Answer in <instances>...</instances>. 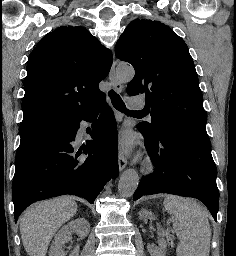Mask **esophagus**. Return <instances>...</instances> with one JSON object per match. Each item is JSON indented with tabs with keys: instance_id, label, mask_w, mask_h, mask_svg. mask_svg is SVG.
<instances>
[{
	"instance_id": "1",
	"label": "esophagus",
	"mask_w": 236,
	"mask_h": 256,
	"mask_svg": "<svg viewBox=\"0 0 236 256\" xmlns=\"http://www.w3.org/2000/svg\"><path fill=\"white\" fill-rule=\"evenodd\" d=\"M115 66H116V62L114 61L112 64L110 73H109V79H110V82L113 85L114 89L117 92H122V85L116 76ZM118 162H119V169H120V171H122L127 165V160L124 157L122 152L119 153Z\"/></svg>"
}]
</instances>
